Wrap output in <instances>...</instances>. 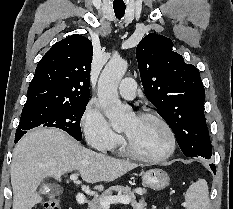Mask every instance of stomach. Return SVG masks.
<instances>
[{
	"label": "stomach",
	"mask_w": 233,
	"mask_h": 209,
	"mask_svg": "<svg viewBox=\"0 0 233 209\" xmlns=\"http://www.w3.org/2000/svg\"><path fill=\"white\" fill-rule=\"evenodd\" d=\"M142 184L153 190H162L170 183L169 175L160 168H152L142 172Z\"/></svg>",
	"instance_id": "1"
}]
</instances>
